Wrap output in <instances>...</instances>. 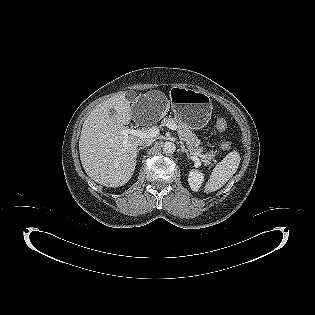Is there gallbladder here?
I'll return each instance as SVG.
<instances>
[{
    "label": "gallbladder",
    "instance_id": "bac80fb5",
    "mask_svg": "<svg viewBox=\"0 0 315 315\" xmlns=\"http://www.w3.org/2000/svg\"><path fill=\"white\" fill-rule=\"evenodd\" d=\"M115 114V111L113 109L110 110V115Z\"/></svg>",
    "mask_w": 315,
    "mask_h": 315
}]
</instances>
